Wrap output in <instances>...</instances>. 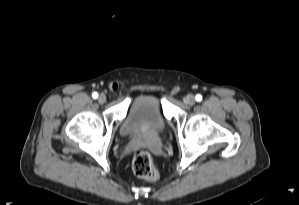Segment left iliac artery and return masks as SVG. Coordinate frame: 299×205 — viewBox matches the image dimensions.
<instances>
[{"label":"left iliac artery","mask_w":299,"mask_h":205,"mask_svg":"<svg viewBox=\"0 0 299 205\" xmlns=\"http://www.w3.org/2000/svg\"><path fill=\"white\" fill-rule=\"evenodd\" d=\"M195 99L196 101L200 102L202 100V96L200 94H197Z\"/></svg>","instance_id":"obj_1"}]
</instances>
